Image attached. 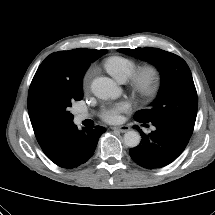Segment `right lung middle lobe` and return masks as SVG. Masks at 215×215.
Masks as SVG:
<instances>
[{
  "instance_id": "obj_1",
  "label": "right lung middle lobe",
  "mask_w": 215,
  "mask_h": 215,
  "mask_svg": "<svg viewBox=\"0 0 215 215\" xmlns=\"http://www.w3.org/2000/svg\"><path fill=\"white\" fill-rule=\"evenodd\" d=\"M95 57H58L47 60L39 66L31 82L28 94L29 115L49 126H66L73 123L70 107L83 97L81 79Z\"/></svg>"
}]
</instances>
